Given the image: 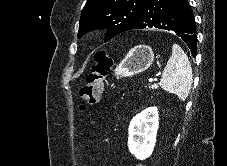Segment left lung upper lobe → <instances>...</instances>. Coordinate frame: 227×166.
I'll list each match as a JSON object with an SVG mask.
<instances>
[{
    "label": "left lung upper lobe",
    "mask_w": 227,
    "mask_h": 166,
    "mask_svg": "<svg viewBox=\"0 0 227 166\" xmlns=\"http://www.w3.org/2000/svg\"><path fill=\"white\" fill-rule=\"evenodd\" d=\"M147 0H87L78 37L93 29H107L105 42L134 28Z\"/></svg>",
    "instance_id": "1"
}]
</instances>
